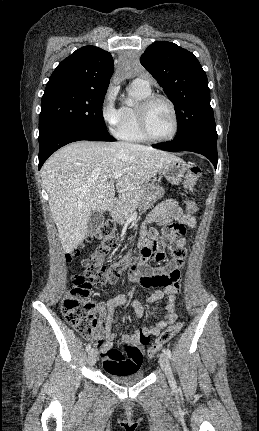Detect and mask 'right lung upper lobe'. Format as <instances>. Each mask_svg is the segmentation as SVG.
Returning <instances> with one entry per match:
<instances>
[{
  "mask_svg": "<svg viewBox=\"0 0 259 431\" xmlns=\"http://www.w3.org/2000/svg\"><path fill=\"white\" fill-rule=\"evenodd\" d=\"M113 71L114 61L109 52L99 47L85 46L56 67L45 91L68 88L107 92Z\"/></svg>",
  "mask_w": 259,
  "mask_h": 431,
  "instance_id": "1",
  "label": "right lung upper lobe"
}]
</instances>
